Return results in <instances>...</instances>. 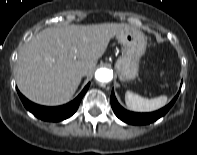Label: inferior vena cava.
<instances>
[{"instance_id": "obj_1", "label": "inferior vena cava", "mask_w": 197, "mask_h": 155, "mask_svg": "<svg viewBox=\"0 0 197 155\" xmlns=\"http://www.w3.org/2000/svg\"><path fill=\"white\" fill-rule=\"evenodd\" d=\"M87 74V71L86 70H81L80 72H79V75L80 76H85Z\"/></svg>"}]
</instances>
